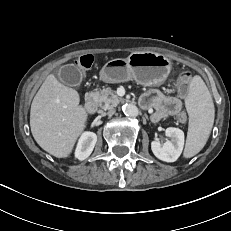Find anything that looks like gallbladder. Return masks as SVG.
Returning a JSON list of instances; mask_svg holds the SVG:
<instances>
[{
  "mask_svg": "<svg viewBox=\"0 0 231 231\" xmlns=\"http://www.w3.org/2000/svg\"><path fill=\"white\" fill-rule=\"evenodd\" d=\"M57 75L60 81L67 86H78L82 81V73L74 65H65L61 67Z\"/></svg>",
  "mask_w": 231,
  "mask_h": 231,
  "instance_id": "bac80fb5",
  "label": "gallbladder"
}]
</instances>
